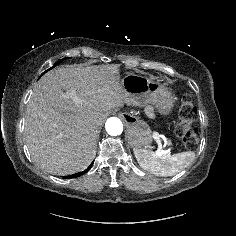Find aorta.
I'll list each match as a JSON object with an SVG mask.
<instances>
[{
	"label": "aorta",
	"instance_id": "762f6f07",
	"mask_svg": "<svg viewBox=\"0 0 236 236\" xmlns=\"http://www.w3.org/2000/svg\"><path fill=\"white\" fill-rule=\"evenodd\" d=\"M105 128L112 136L120 135L123 131V124L119 118L111 117L106 121Z\"/></svg>",
	"mask_w": 236,
	"mask_h": 236
}]
</instances>
